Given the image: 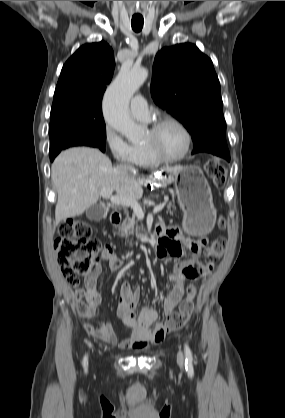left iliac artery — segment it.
<instances>
[{"label":"left iliac artery","mask_w":285,"mask_h":418,"mask_svg":"<svg viewBox=\"0 0 285 418\" xmlns=\"http://www.w3.org/2000/svg\"><path fill=\"white\" fill-rule=\"evenodd\" d=\"M185 369L188 372L189 376H193L194 374V369H193V357H192V352L189 348V346L187 344H185Z\"/></svg>","instance_id":"left-iliac-artery-1"}]
</instances>
